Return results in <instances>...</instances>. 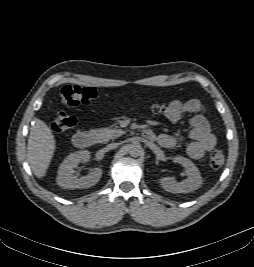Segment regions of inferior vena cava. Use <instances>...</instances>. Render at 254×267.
Instances as JSON below:
<instances>
[{"mask_svg": "<svg viewBox=\"0 0 254 267\" xmlns=\"http://www.w3.org/2000/svg\"><path fill=\"white\" fill-rule=\"evenodd\" d=\"M117 146H118L117 143H111V144H108L107 145V149L108 150H112V149H115Z\"/></svg>", "mask_w": 254, "mask_h": 267, "instance_id": "1", "label": "inferior vena cava"}]
</instances>
